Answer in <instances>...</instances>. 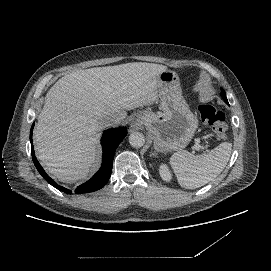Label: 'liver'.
<instances>
[{
	"label": "liver",
	"mask_w": 271,
	"mask_h": 271,
	"mask_svg": "<svg viewBox=\"0 0 271 271\" xmlns=\"http://www.w3.org/2000/svg\"><path fill=\"white\" fill-rule=\"evenodd\" d=\"M167 66L133 62L74 71L47 92L33 131L36 155L59 181L86 179L103 129L98 118L124 120L126 110L153 104Z\"/></svg>",
	"instance_id": "liver-1"
}]
</instances>
